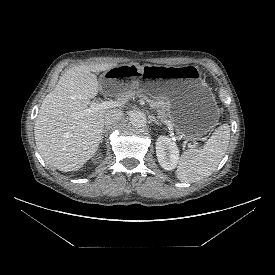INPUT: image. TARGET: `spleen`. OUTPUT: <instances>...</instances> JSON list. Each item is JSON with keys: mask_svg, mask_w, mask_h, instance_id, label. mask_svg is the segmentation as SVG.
Masks as SVG:
<instances>
[{"mask_svg": "<svg viewBox=\"0 0 275 275\" xmlns=\"http://www.w3.org/2000/svg\"><path fill=\"white\" fill-rule=\"evenodd\" d=\"M230 140V126H219L202 149H189L179 160L176 177L181 182L193 183L209 177L218 167Z\"/></svg>", "mask_w": 275, "mask_h": 275, "instance_id": "spleen-1", "label": "spleen"}]
</instances>
